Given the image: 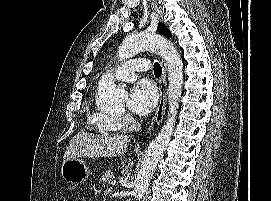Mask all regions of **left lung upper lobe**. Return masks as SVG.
<instances>
[{
	"label": "left lung upper lobe",
	"mask_w": 271,
	"mask_h": 201,
	"mask_svg": "<svg viewBox=\"0 0 271 201\" xmlns=\"http://www.w3.org/2000/svg\"><path fill=\"white\" fill-rule=\"evenodd\" d=\"M157 30H158V32H159L160 34H163L164 36H166V37H168V38L171 37L170 31H169L168 28H167L165 25H163L162 23H159Z\"/></svg>",
	"instance_id": "left-lung-upper-lobe-1"
}]
</instances>
